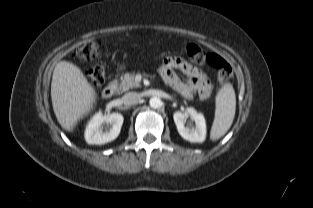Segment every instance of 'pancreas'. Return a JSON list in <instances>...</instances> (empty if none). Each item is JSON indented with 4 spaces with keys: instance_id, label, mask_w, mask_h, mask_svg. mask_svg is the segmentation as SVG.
I'll return each instance as SVG.
<instances>
[{
    "instance_id": "cf45deb5",
    "label": "pancreas",
    "mask_w": 313,
    "mask_h": 208,
    "mask_svg": "<svg viewBox=\"0 0 313 208\" xmlns=\"http://www.w3.org/2000/svg\"><path fill=\"white\" fill-rule=\"evenodd\" d=\"M140 87V83L135 81V73H125L121 78L117 93H123L131 88Z\"/></svg>"
}]
</instances>
